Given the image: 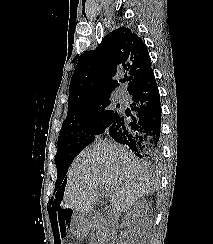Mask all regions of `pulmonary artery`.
Segmentation results:
<instances>
[{"label": "pulmonary artery", "mask_w": 213, "mask_h": 244, "mask_svg": "<svg viewBox=\"0 0 213 244\" xmlns=\"http://www.w3.org/2000/svg\"><path fill=\"white\" fill-rule=\"evenodd\" d=\"M117 99L120 100V101H122L124 99V95H123L122 92H118L117 93Z\"/></svg>", "instance_id": "obj_1"}]
</instances>
